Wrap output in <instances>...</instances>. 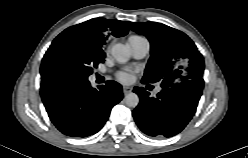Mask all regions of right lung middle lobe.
<instances>
[{
  "label": "right lung middle lobe",
  "instance_id": "dd1d6c3e",
  "mask_svg": "<svg viewBox=\"0 0 248 158\" xmlns=\"http://www.w3.org/2000/svg\"><path fill=\"white\" fill-rule=\"evenodd\" d=\"M104 58L103 51L89 48L74 38L61 37L52 42L41 68L55 83L83 82Z\"/></svg>",
  "mask_w": 248,
  "mask_h": 158
}]
</instances>
